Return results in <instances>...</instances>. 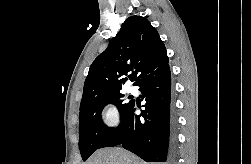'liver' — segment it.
<instances>
[{"mask_svg": "<svg viewBox=\"0 0 251 164\" xmlns=\"http://www.w3.org/2000/svg\"><path fill=\"white\" fill-rule=\"evenodd\" d=\"M85 164H146L130 152L116 147L97 150Z\"/></svg>", "mask_w": 251, "mask_h": 164, "instance_id": "obj_1", "label": "liver"}]
</instances>
